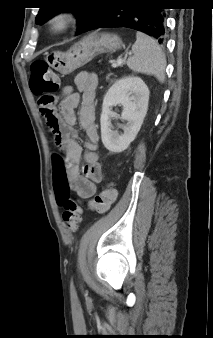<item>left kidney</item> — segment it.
Segmentation results:
<instances>
[{
    "label": "left kidney",
    "mask_w": 213,
    "mask_h": 338,
    "mask_svg": "<svg viewBox=\"0 0 213 338\" xmlns=\"http://www.w3.org/2000/svg\"><path fill=\"white\" fill-rule=\"evenodd\" d=\"M148 101L149 89L139 77H123L109 88L103 100L100 117L101 139L107 150L120 153L128 148L142 126ZM116 104L123 106L121 118L127 121L121 135L110 128V107Z\"/></svg>",
    "instance_id": "1"
}]
</instances>
